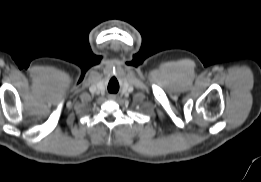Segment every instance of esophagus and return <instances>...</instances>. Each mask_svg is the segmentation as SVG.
Masks as SVG:
<instances>
[{"mask_svg":"<svg viewBox=\"0 0 261 182\" xmlns=\"http://www.w3.org/2000/svg\"><path fill=\"white\" fill-rule=\"evenodd\" d=\"M109 98H111V99H112V98H114V96H109Z\"/></svg>","mask_w":261,"mask_h":182,"instance_id":"1","label":"esophagus"}]
</instances>
